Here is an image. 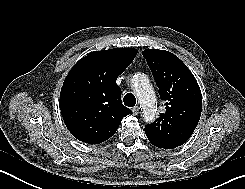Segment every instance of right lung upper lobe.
Wrapping results in <instances>:
<instances>
[{
	"label": "right lung upper lobe",
	"instance_id": "1",
	"mask_svg": "<svg viewBox=\"0 0 245 189\" xmlns=\"http://www.w3.org/2000/svg\"><path fill=\"white\" fill-rule=\"evenodd\" d=\"M134 48L94 51L70 70L60 93V110L71 134L89 144L112 137L131 110L121 103L117 77L134 60Z\"/></svg>",
	"mask_w": 245,
	"mask_h": 189
}]
</instances>
